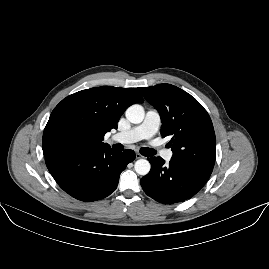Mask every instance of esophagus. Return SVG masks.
Returning a JSON list of instances; mask_svg holds the SVG:
<instances>
[{
    "mask_svg": "<svg viewBox=\"0 0 269 269\" xmlns=\"http://www.w3.org/2000/svg\"><path fill=\"white\" fill-rule=\"evenodd\" d=\"M143 156L140 153H136V159L142 158Z\"/></svg>",
    "mask_w": 269,
    "mask_h": 269,
    "instance_id": "esophagus-1",
    "label": "esophagus"
}]
</instances>
